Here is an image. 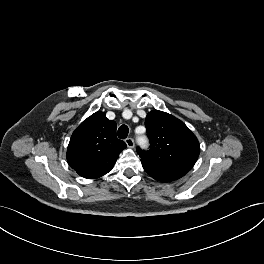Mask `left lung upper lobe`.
<instances>
[{
    "mask_svg": "<svg viewBox=\"0 0 264 264\" xmlns=\"http://www.w3.org/2000/svg\"><path fill=\"white\" fill-rule=\"evenodd\" d=\"M145 126L150 150L137 152L141 160L188 172L199 156L200 145L192 131L179 119L162 112L148 113Z\"/></svg>",
    "mask_w": 264,
    "mask_h": 264,
    "instance_id": "left-lung-upper-lobe-1",
    "label": "left lung upper lobe"
}]
</instances>
